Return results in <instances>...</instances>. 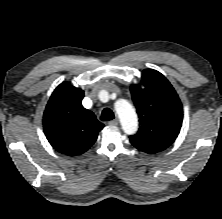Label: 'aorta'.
I'll return each mask as SVG.
<instances>
[{
    "label": "aorta",
    "mask_w": 222,
    "mask_h": 219,
    "mask_svg": "<svg viewBox=\"0 0 222 219\" xmlns=\"http://www.w3.org/2000/svg\"><path fill=\"white\" fill-rule=\"evenodd\" d=\"M115 110L120 119L123 131L132 135L138 129V117L133 106L125 99H119L115 103Z\"/></svg>",
    "instance_id": "762f6f07"
}]
</instances>
